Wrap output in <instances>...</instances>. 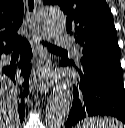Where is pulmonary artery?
Segmentation results:
<instances>
[{"label": "pulmonary artery", "instance_id": "1", "mask_svg": "<svg viewBox=\"0 0 125 128\" xmlns=\"http://www.w3.org/2000/svg\"><path fill=\"white\" fill-rule=\"evenodd\" d=\"M56 44L62 48H70V47L76 46L74 39L70 35H67V34H62V35L57 36ZM76 53L78 56L81 55V52L79 50H77Z\"/></svg>", "mask_w": 125, "mask_h": 128}]
</instances>
